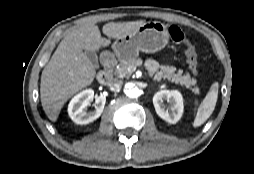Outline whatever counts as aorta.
I'll list each match as a JSON object with an SVG mask.
<instances>
[{
    "instance_id": "obj_1",
    "label": "aorta",
    "mask_w": 254,
    "mask_h": 174,
    "mask_svg": "<svg viewBox=\"0 0 254 174\" xmlns=\"http://www.w3.org/2000/svg\"><path fill=\"white\" fill-rule=\"evenodd\" d=\"M124 93L129 98H137L140 96V89L133 83H127L124 87Z\"/></svg>"
}]
</instances>
